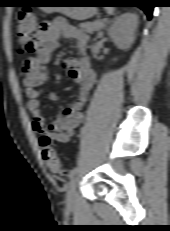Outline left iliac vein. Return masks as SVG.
Listing matches in <instances>:
<instances>
[{
  "mask_svg": "<svg viewBox=\"0 0 170 231\" xmlns=\"http://www.w3.org/2000/svg\"><path fill=\"white\" fill-rule=\"evenodd\" d=\"M77 185H78V179L76 177L72 178L69 186H68V190H67V194H66V204L69 207H74L76 204V199H77V193H76V189H77Z\"/></svg>",
  "mask_w": 170,
  "mask_h": 231,
  "instance_id": "4c4485c4",
  "label": "left iliac vein"
}]
</instances>
